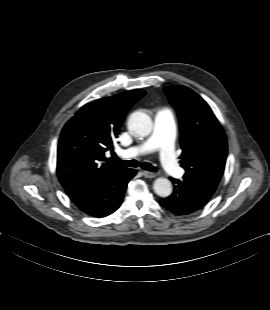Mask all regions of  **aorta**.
I'll list each match as a JSON object with an SVG mask.
<instances>
[{
    "label": "aorta",
    "mask_w": 270,
    "mask_h": 310,
    "mask_svg": "<svg viewBox=\"0 0 270 310\" xmlns=\"http://www.w3.org/2000/svg\"><path fill=\"white\" fill-rule=\"evenodd\" d=\"M128 126L131 131L140 137L148 136L152 131V120L149 115L144 112H133L128 119ZM154 192L160 197H168L172 193V185L170 180L159 177L153 184Z\"/></svg>",
    "instance_id": "obj_1"
}]
</instances>
